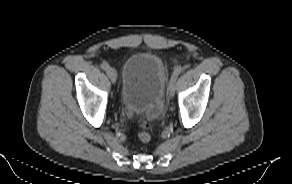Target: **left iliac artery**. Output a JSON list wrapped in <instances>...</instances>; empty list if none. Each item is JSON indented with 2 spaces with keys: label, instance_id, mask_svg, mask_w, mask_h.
I'll return each instance as SVG.
<instances>
[{
  "label": "left iliac artery",
  "instance_id": "44dca946",
  "mask_svg": "<svg viewBox=\"0 0 292 184\" xmlns=\"http://www.w3.org/2000/svg\"><path fill=\"white\" fill-rule=\"evenodd\" d=\"M183 71V68L181 66H177L171 76V80L176 81L178 75Z\"/></svg>",
  "mask_w": 292,
  "mask_h": 184
}]
</instances>
